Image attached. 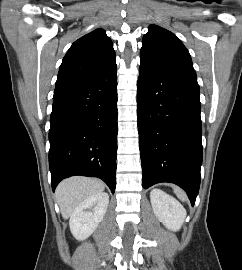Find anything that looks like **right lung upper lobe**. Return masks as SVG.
<instances>
[{"label": "right lung upper lobe", "mask_w": 242, "mask_h": 270, "mask_svg": "<svg viewBox=\"0 0 242 270\" xmlns=\"http://www.w3.org/2000/svg\"><path fill=\"white\" fill-rule=\"evenodd\" d=\"M111 39L101 28L75 41L59 68L55 91L58 92L107 70L116 64Z\"/></svg>", "instance_id": "right-lung-upper-lobe-1"}]
</instances>
